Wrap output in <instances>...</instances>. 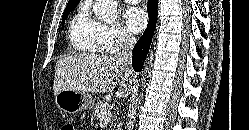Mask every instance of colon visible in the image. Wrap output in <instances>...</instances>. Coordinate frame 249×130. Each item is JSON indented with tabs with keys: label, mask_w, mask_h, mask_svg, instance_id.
Segmentation results:
<instances>
[{
	"label": "colon",
	"mask_w": 249,
	"mask_h": 130,
	"mask_svg": "<svg viewBox=\"0 0 249 130\" xmlns=\"http://www.w3.org/2000/svg\"><path fill=\"white\" fill-rule=\"evenodd\" d=\"M61 130H77L75 126L72 123H65L62 127Z\"/></svg>",
	"instance_id": "1"
}]
</instances>
